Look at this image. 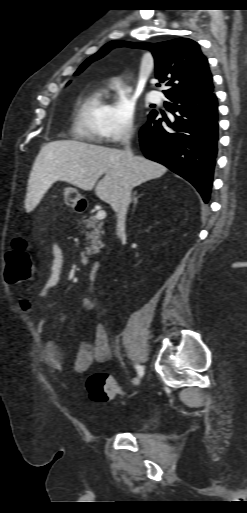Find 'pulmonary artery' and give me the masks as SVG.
<instances>
[{"label":"pulmonary artery","mask_w":247,"mask_h":513,"mask_svg":"<svg viewBox=\"0 0 247 513\" xmlns=\"http://www.w3.org/2000/svg\"><path fill=\"white\" fill-rule=\"evenodd\" d=\"M149 100L154 103L158 102L160 100V94L157 91L150 92Z\"/></svg>","instance_id":"e3ab8cb5"}]
</instances>
